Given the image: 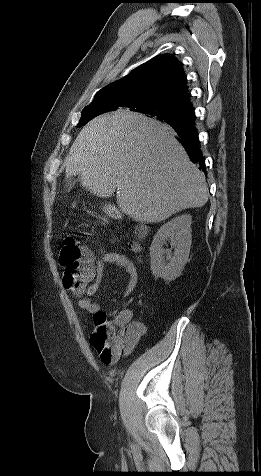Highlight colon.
Masks as SVG:
<instances>
[{"label": "colon", "instance_id": "5ec220e1", "mask_svg": "<svg viewBox=\"0 0 261 476\" xmlns=\"http://www.w3.org/2000/svg\"><path fill=\"white\" fill-rule=\"evenodd\" d=\"M136 248V245H132ZM60 261L64 267L62 274L63 285L66 289L77 292L84 288L92 278V264L85 257L79 244L73 237L65 240L60 253ZM94 330L91 344L101 355L108 356L122 341L123 333L107 323L106 315L101 312L94 317Z\"/></svg>", "mask_w": 261, "mask_h": 476}]
</instances>
